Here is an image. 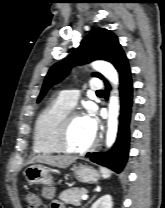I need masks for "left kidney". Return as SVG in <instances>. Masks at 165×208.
I'll return each mask as SVG.
<instances>
[{
	"label": "left kidney",
	"instance_id": "obj_1",
	"mask_svg": "<svg viewBox=\"0 0 165 208\" xmlns=\"http://www.w3.org/2000/svg\"><path fill=\"white\" fill-rule=\"evenodd\" d=\"M113 202L112 197L110 195H104L100 197L97 201H95L91 208H112Z\"/></svg>",
	"mask_w": 165,
	"mask_h": 208
}]
</instances>
